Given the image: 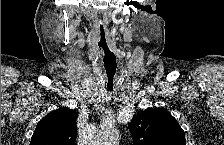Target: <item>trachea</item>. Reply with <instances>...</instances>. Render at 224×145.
<instances>
[{"label":"trachea","instance_id":"1","mask_svg":"<svg viewBox=\"0 0 224 145\" xmlns=\"http://www.w3.org/2000/svg\"><path fill=\"white\" fill-rule=\"evenodd\" d=\"M110 55L111 57L107 60L105 58L104 63H105V71H106V79L108 80V83L111 84V86H108V89L110 91L113 90V81H114V77L116 74V57L114 56L113 53H110L108 51V53L105 52V56Z\"/></svg>","mask_w":224,"mask_h":145}]
</instances>
